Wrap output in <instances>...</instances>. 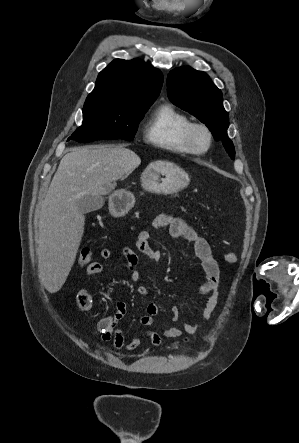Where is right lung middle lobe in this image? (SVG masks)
I'll return each instance as SVG.
<instances>
[{"instance_id": "obj_1", "label": "right lung middle lobe", "mask_w": 299, "mask_h": 443, "mask_svg": "<svg viewBox=\"0 0 299 443\" xmlns=\"http://www.w3.org/2000/svg\"><path fill=\"white\" fill-rule=\"evenodd\" d=\"M153 102L87 98L83 124L68 138L80 143L96 140H132L144 112Z\"/></svg>"}]
</instances>
